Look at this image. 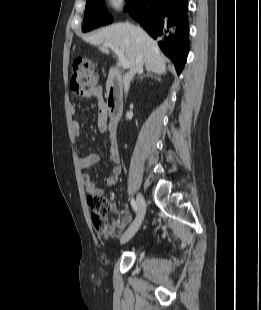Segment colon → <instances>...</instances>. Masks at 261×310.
Returning a JSON list of instances; mask_svg holds the SVG:
<instances>
[{
    "instance_id": "colon-1",
    "label": "colon",
    "mask_w": 261,
    "mask_h": 310,
    "mask_svg": "<svg viewBox=\"0 0 261 310\" xmlns=\"http://www.w3.org/2000/svg\"><path fill=\"white\" fill-rule=\"evenodd\" d=\"M97 79V73L89 59L78 57L73 61L70 87L74 92L78 93L93 88ZM87 203L91 210L92 223L102 236L113 237L126 224V218L119 222L112 216V205L102 195L88 196Z\"/></svg>"
}]
</instances>
